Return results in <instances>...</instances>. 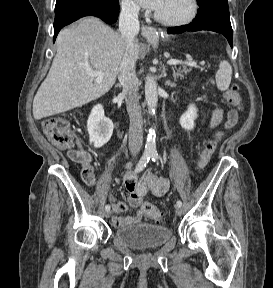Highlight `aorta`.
<instances>
[{"mask_svg":"<svg viewBox=\"0 0 273 288\" xmlns=\"http://www.w3.org/2000/svg\"><path fill=\"white\" fill-rule=\"evenodd\" d=\"M145 98L147 102L148 111L150 114H153L155 112L158 103V93L155 78L151 74L147 75L146 77ZM145 154L146 155L156 154V142L153 130H150L148 134L147 142L145 145Z\"/></svg>","mask_w":273,"mask_h":288,"instance_id":"1","label":"aorta"}]
</instances>
